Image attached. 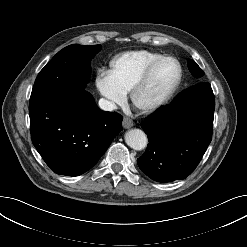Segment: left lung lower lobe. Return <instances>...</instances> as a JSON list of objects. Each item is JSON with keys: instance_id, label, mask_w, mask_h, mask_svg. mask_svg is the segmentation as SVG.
<instances>
[{"instance_id": "0a47b994", "label": "left lung lower lobe", "mask_w": 247, "mask_h": 247, "mask_svg": "<svg viewBox=\"0 0 247 247\" xmlns=\"http://www.w3.org/2000/svg\"><path fill=\"white\" fill-rule=\"evenodd\" d=\"M214 110L210 84L199 83L146 118L141 127L149 144L137 159L139 168L157 182L188 177L211 142Z\"/></svg>"}]
</instances>
